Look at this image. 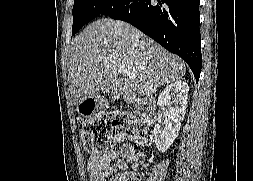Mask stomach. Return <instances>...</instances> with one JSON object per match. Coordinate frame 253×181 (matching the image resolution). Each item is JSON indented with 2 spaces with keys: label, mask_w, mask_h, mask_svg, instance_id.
<instances>
[{
  "label": "stomach",
  "mask_w": 253,
  "mask_h": 181,
  "mask_svg": "<svg viewBox=\"0 0 253 181\" xmlns=\"http://www.w3.org/2000/svg\"><path fill=\"white\" fill-rule=\"evenodd\" d=\"M103 97L96 93L77 105V112L85 117L93 116L103 105Z\"/></svg>",
  "instance_id": "stomach-1"
}]
</instances>
